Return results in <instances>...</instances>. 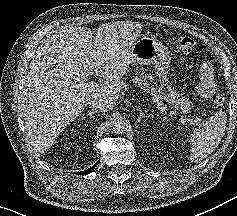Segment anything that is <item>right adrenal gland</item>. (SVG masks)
Here are the masks:
<instances>
[{"label":"right adrenal gland","mask_w":237,"mask_h":216,"mask_svg":"<svg viewBox=\"0 0 237 216\" xmlns=\"http://www.w3.org/2000/svg\"><path fill=\"white\" fill-rule=\"evenodd\" d=\"M95 113H97V111L96 110H94V109H92L91 110V112L89 113V114H87L86 116H84V117H81V121H83L84 119H86V118H88V117H91V118H93L92 116H93V114H95Z\"/></svg>","instance_id":"1"}]
</instances>
